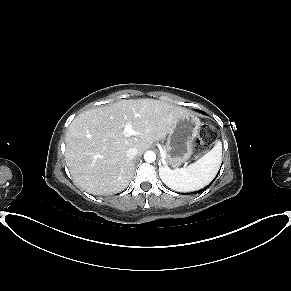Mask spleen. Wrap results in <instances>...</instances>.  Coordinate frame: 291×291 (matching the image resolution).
<instances>
[{"mask_svg": "<svg viewBox=\"0 0 291 291\" xmlns=\"http://www.w3.org/2000/svg\"><path fill=\"white\" fill-rule=\"evenodd\" d=\"M222 144L217 142L211 151L187 167L170 170L159 168L161 180L171 189L190 192L208 185L218 172L221 164Z\"/></svg>", "mask_w": 291, "mask_h": 291, "instance_id": "3e777b00", "label": "spleen"}]
</instances>
